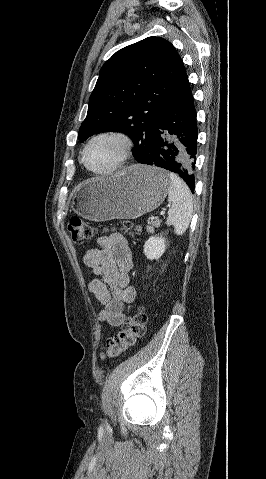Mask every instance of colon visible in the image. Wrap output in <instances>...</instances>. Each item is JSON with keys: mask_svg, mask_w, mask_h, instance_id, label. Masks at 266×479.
Masks as SVG:
<instances>
[{"mask_svg": "<svg viewBox=\"0 0 266 479\" xmlns=\"http://www.w3.org/2000/svg\"><path fill=\"white\" fill-rule=\"evenodd\" d=\"M68 231L75 244L82 245L90 240L94 234V229L85 223L79 217H73L67 225ZM122 230L125 233L134 235L139 231V227L130 221L122 224ZM147 315L142 307H138L129 313L122 329L113 337L108 338L102 348L103 358H119L128 350L133 348L138 339L145 334Z\"/></svg>", "mask_w": 266, "mask_h": 479, "instance_id": "5ec220e1", "label": "colon"}]
</instances>
